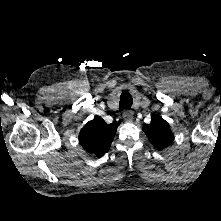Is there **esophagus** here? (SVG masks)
I'll list each match as a JSON object with an SVG mask.
<instances>
[{"label":"esophagus","mask_w":221,"mask_h":221,"mask_svg":"<svg viewBox=\"0 0 221 221\" xmlns=\"http://www.w3.org/2000/svg\"><path fill=\"white\" fill-rule=\"evenodd\" d=\"M123 118L126 122H132L134 117H133V112L126 110L123 112Z\"/></svg>","instance_id":"obj_1"}]
</instances>
